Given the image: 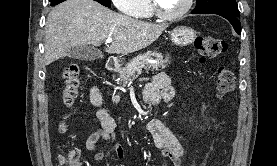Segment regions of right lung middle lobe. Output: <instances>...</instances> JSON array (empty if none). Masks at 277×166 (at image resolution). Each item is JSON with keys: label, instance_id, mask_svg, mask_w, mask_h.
Instances as JSON below:
<instances>
[{"label": "right lung middle lobe", "instance_id": "1", "mask_svg": "<svg viewBox=\"0 0 277 166\" xmlns=\"http://www.w3.org/2000/svg\"><path fill=\"white\" fill-rule=\"evenodd\" d=\"M51 3L56 2L57 0H49ZM99 2L100 4L106 6V7H111L110 0H95Z\"/></svg>", "mask_w": 277, "mask_h": 166}]
</instances>
